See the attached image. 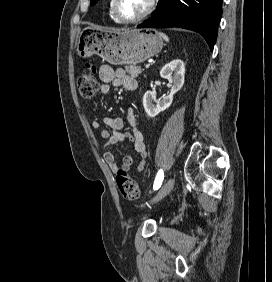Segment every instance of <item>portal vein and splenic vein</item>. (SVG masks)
<instances>
[{
    "instance_id": "obj_1",
    "label": "portal vein and splenic vein",
    "mask_w": 272,
    "mask_h": 282,
    "mask_svg": "<svg viewBox=\"0 0 272 282\" xmlns=\"http://www.w3.org/2000/svg\"><path fill=\"white\" fill-rule=\"evenodd\" d=\"M145 68H146V69H149V68H150V64H146V65H145Z\"/></svg>"
}]
</instances>
